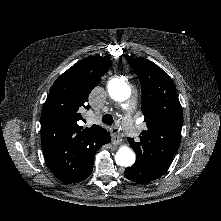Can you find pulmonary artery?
I'll return each mask as SVG.
<instances>
[{
  "label": "pulmonary artery",
  "instance_id": "e3ab8cb5",
  "mask_svg": "<svg viewBox=\"0 0 221 221\" xmlns=\"http://www.w3.org/2000/svg\"><path fill=\"white\" fill-rule=\"evenodd\" d=\"M125 131H126L127 133H129V134H131V133L134 132L133 129H131V127H130V125H129L128 123L126 124Z\"/></svg>",
  "mask_w": 221,
  "mask_h": 221
}]
</instances>
